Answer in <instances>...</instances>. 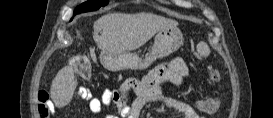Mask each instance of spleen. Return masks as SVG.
Here are the masks:
<instances>
[{
    "label": "spleen",
    "mask_w": 273,
    "mask_h": 118,
    "mask_svg": "<svg viewBox=\"0 0 273 118\" xmlns=\"http://www.w3.org/2000/svg\"><path fill=\"white\" fill-rule=\"evenodd\" d=\"M197 51L201 56H208L210 54V48L209 46L204 43V42H200L197 45Z\"/></svg>",
    "instance_id": "1"
}]
</instances>
